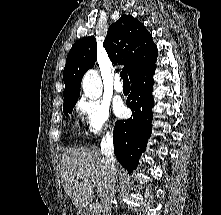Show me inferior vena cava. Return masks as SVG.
I'll return each instance as SVG.
<instances>
[{"label":"inferior vena cava","instance_id":"inferior-vena-cava-1","mask_svg":"<svg viewBox=\"0 0 221 215\" xmlns=\"http://www.w3.org/2000/svg\"><path fill=\"white\" fill-rule=\"evenodd\" d=\"M101 153L104 156L109 169L108 184L101 199L103 207L102 215H111L112 200L114 198L116 185V166L114 159L113 136L109 132L106 133L101 141Z\"/></svg>","mask_w":221,"mask_h":215}]
</instances>
